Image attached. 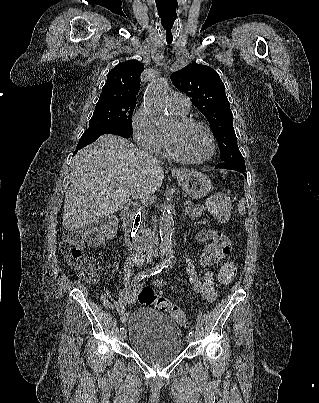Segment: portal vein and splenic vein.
I'll list each match as a JSON object with an SVG mask.
<instances>
[{
	"label": "portal vein and splenic vein",
	"mask_w": 319,
	"mask_h": 403,
	"mask_svg": "<svg viewBox=\"0 0 319 403\" xmlns=\"http://www.w3.org/2000/svg\"><path fill=\"white\" fill-rule=\"evenodd\" d=\"M132 195H135V194H132ZM184 205H187V206H188V205H191V202H190V201H185V202H184Z\"/></svg>",
	"instance_id": "18ae733b"
}]
</instances>
